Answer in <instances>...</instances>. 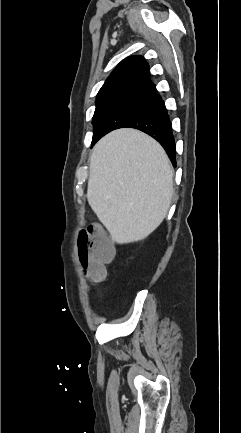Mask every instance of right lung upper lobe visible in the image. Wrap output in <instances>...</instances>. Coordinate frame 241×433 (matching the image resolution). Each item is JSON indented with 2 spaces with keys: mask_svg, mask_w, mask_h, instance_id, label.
Instances as JSON below:
<instances>
[{
  "mask_svg": "<svg viewBox=\"0 0 241 433\" xmlns=\"http://www.w3.org/2000/svg\"><path fill=\"white\" fill-rule=\"evenodd\" d=\"M157 92L149 79V66L141 56L124 59L112 71L97 94V100L121 95H152Z\"/></svg>",
  "mask_w": 241,
  "mask_h": 433,
  "instance_id": "1",
  "label": "right lung upper lobe"
}]
</instances>
